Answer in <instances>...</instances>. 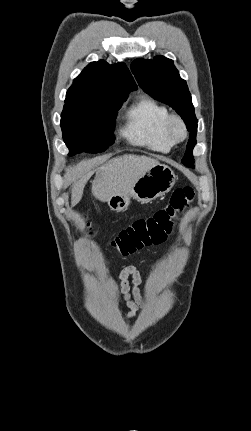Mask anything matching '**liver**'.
Returning <instances> with one entry per match:
<instances>
[{
	"label": "liver",
	"mask_w": 251,
	"mask_h": 431,
	"mask_svg": "<svg viewBox=\"0 0 251 431\" xmlns=\"http://www.w3.org/2000/svg\"><path fill=\"white\" fill-rule=\"evenodd\" d=\"M157 163V160L150 157L129 154L113 158L96 169H90L88 163L70 166L66 169V175L79 177L72 185L71 204L75 206L80 202L84 187L94 172L96 175L92 183V194L105 202L112 195L129 191Z\"/></svg>",
	"instance_id": "6515ba94"
}]
</instances>
